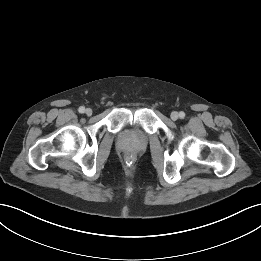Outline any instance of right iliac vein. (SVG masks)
Instances as JSON below:
<instances>
[{"instance_id":"63e3f726","label":"right iliac vein","mask_w":261,"mask_h":261,"mask_svg":"<svg viewBox=\"0 0 261 261\" xmlns=\"http://www.w3.org/2000/svg\"><path fill=\"white\" fill-rule=\"evenodd\" d=\"M85 113H86V115L90 116V115H92V110L90 108H87L85 110Z\"/></svg>"}]
</instances>
